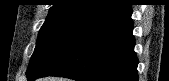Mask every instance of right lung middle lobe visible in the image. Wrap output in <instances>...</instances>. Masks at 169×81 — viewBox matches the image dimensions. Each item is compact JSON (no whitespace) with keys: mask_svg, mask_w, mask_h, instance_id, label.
Here are the masks:
<instances>
[{"mask_svg":"<svg viewBox=\"0 0 169 81\" xmlns=\"http://www.w3.org/2000/svg\"><path fill=\"white\" fill-rule=\"evenodd\" d=\"M85 22L78 17L46 19L39 31L26 75L35 72Z\"/></svg>","mask_w":169,"mask_h":81,"instance_id":"obj_1","label":"right lung middle lobe"}]
</instances>
